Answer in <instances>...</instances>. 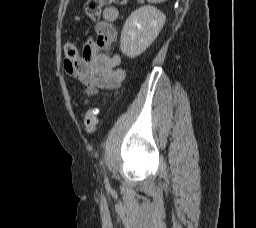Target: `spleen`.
<instances>
[{
	"mask_svg": "<svg viewBox=\"0 0 256 228\" xmlns=\"http://www.w3.org/2000/svg\"><path fill=\"white\" fill-rule=\"evenodd\" d=\"M150 3H161V2H165L166 0H147Z\"/></svg>",
	"mask_w": 256,
	"mask_h": 228,
	"instance_id": "3e777b00",
	"label": "spleen"
}]
</instances>
